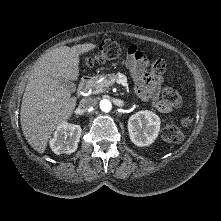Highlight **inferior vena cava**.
Returning <instances> with one entry per match:
<instances>
[{"instance_id": "inferior-vena-cava-1", "label": "inferior vena cava", "mask_w": 221, "mask_h": 221, "mask_svg": "<svg viewBox=\"0 0 221 221\" xmlns=\"http://www.w3.org/2000/svg\"><path fill=\"white\" fill-rule=\"evenodd\" d=\"M97 104V100L94 97H85L79 103V108L83 111L94 107Z\"/></svg>"}]
</instances>
